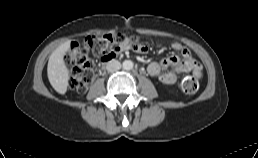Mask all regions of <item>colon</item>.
Segmentation results:
<instances>
[{"mask_svg":"<svg viewBox=\"0 0 258 158\" xmlns=\"http://www.w3.org/2000/svg\"><path fill=\"white\" fill-rule=\"evenodd\" d=\"M139 39L124 34L89 35L84 44L74 43L65 55V61L71 68L70 87L78 93H84L94 78L93 61L89 52L105 60L114 57L127 48H136ZM181 89L187 94H194L199 89V81L195 76L182 79Z\"/></svg>","mask_w":258,"mask_h":158,"instance_id":"colon-1","label":"colon"}]
</instances>
